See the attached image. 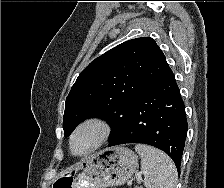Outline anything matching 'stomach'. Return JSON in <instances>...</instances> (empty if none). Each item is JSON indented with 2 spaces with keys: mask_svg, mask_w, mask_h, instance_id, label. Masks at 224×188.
I'll use <instances>...</instances> for the list:
<instances>
[{
  "mask_svg": "<svg viewBox=\"0 0 224 188\" xmlns=\"http://www.w3.org/2000/svg\"><path fill=\"white\" fill-rule=\"evenodd\" d=\"M138 166V157L126 147L103 149L61 172L51 188H107L128 181Z\"/></svg>",
  "mask_w": 224,
  "mask_h": 188,
  "instance_id": "1",
  "label": "stomach"
}]
</instances>
